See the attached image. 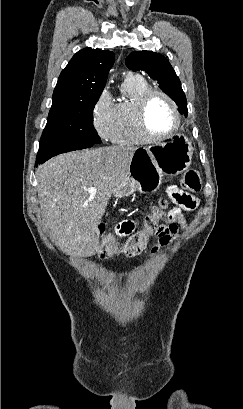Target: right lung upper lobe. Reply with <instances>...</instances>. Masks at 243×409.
I'll return each instance as SVG.
<instances>
[{
	"mask_svg": "<svg viewBox=\"0 0 243 409\" xmlns=\"http://www.w3.org/2000/svg\"><path fill=\"white\" fill-rule=\"evenodd\" d=\"M114 61L115 54L108 50L77 52L59 76L53 103L98 101Z\"/></svg>",
	"mask_w": 243,
	"mask_h": 409,
	"instance_id": "cb5924a9",
	"label": "right lung upper lobe"
}]
</instances>
